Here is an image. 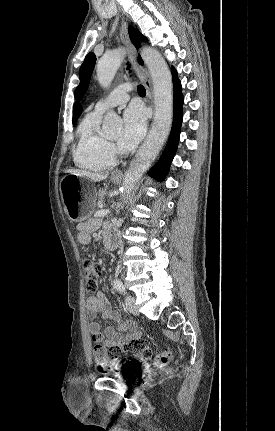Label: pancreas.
I'll return each mask as SVG.
<instances>
[{
    "mask_svg": "<svg viewBox=\"0 0 275 431\" xmlns=\"http://www.w3.org/2000/svg\"><path fill=\"white\" fill-rule=\"evenodd\" d=\"M105 194H106L105 190H99L97 204H102L103 203Z\"/></svg>",
    "mask_w": 275,
    "mask_h": 431,
    "instance_id": "cf45deb5",
    "label": "pancreas"
}]
</instances>
